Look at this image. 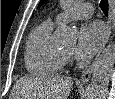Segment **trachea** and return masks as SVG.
Segmentation results:
<instances>
[{
	"label": "trachea",
	"instance_id": "1",
	"mask_svg": "<svg viewBox=\"0 0 115 99\" xmlns=\"http://www.w3.org/2000/svg\"><path fill=\"white\" fill-rule=\"evenodd\" d=\"M100 8L103 11V13L107 16L108 15V1L102 0L100 2Z\"/></svg>",
	"mask_w": 115,
	"mask_h": 99
}]
</instances>
